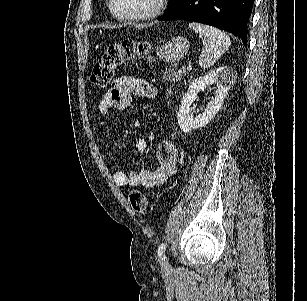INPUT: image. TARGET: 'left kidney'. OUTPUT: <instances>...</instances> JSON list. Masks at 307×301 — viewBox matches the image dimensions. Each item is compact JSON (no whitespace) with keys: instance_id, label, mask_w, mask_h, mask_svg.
Here are the masks:
<instances>
[{"instance_id":"1","label":"left kidney","mask_w":307,"mask_h":301,"mask_svg":"<svg viewBox=\"0 0 307 301\" xmlns=\"http://www.w3.org/2000/svg\"><path fill=\"white\" fill-rule=\"evenodd\" d=\"M235 76V70L232 66H218L204 76L194 78L185 92L177 112V120L182 132H191L194 128L206 126L214 118L221 108L231 84L236 80ZM210 84H214V96L209 100L204 112L193 116L190 108L192 102L198 98V92Z\"/></svg>"}]
</instances>
